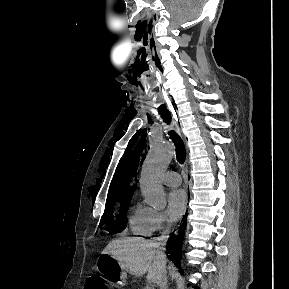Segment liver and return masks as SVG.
I'll use <instances>...</instances> for the list:
<instances>
[{
	"label": "liver",
	"instance_id": "6515ba94",
	"mask_svg": "<svg viewBox=\"0 0 289 289\" xmlns=\"http://www.w3.org/2000/svg\"><path fill=\"white\" fill-rule=\"evenodd\" d=\"M112 255L120 267L137 277L147 273V280L157 283L164 267L157 256L154 244L142 238H120L111 241L102 252Z\"/></svg>",
	"mask_w": 289,
	"mask_h": 289
}]
</instances>
